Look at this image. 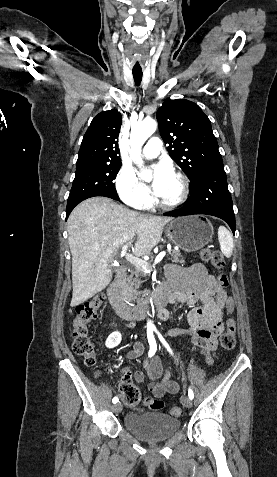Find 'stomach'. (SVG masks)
I'll list each match as a JSON object with an SVG mask.
<instances>
[{"mask_svg": "<svg viewBox=\"0 0 277 477\" xmlns=\"http://www.w3.org/2000/svg\"><path fill=\"white\" fill-rule=\"evenodd\" d=\"M166 236L185 252L204 248L213 238L211 222L200 216H185L173 219L165 228Z\"/></svg>", "mask_w": 277, "mask_h": 477, "instance_id": "1", "label": "stomach"}]
</instances>
